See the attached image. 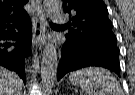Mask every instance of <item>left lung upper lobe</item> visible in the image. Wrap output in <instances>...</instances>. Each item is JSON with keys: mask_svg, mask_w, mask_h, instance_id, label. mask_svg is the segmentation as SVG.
Listing matches in <instances>:
<instances>
[{"mask_svg": "<svg viewBox=\"0 0 135 95\" xmlns=\"http://www.w3.org/2000/svg\"><path fill=\"white\" fill-rule=\"evenodd\" d=\"M63 10L72 17V29L66 38L85 41L95 38H110L116 41L112 23L103 0H63Z\"/></svg>", "mask_w": 135, "mask_h": 95, "instance_id": "obj_1", "label": "left lung upper lobe"}]
</instances>
